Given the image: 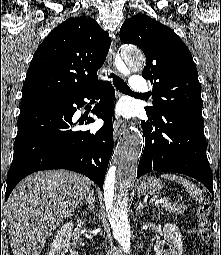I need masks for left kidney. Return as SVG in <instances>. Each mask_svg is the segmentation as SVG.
<instances>
[{
  "label": "left kidney",
  "mask_w": 221,
  "mask_h": 255,
  "mask_svg": "<svg viewBox=\"0 0 221 255\" xmlns=\"http://www.w3.org/2000/svg\"><path fill=\"white\" fill-rule=\"evenodd\" d=\"M164 240L156 242L154 250L156 255H182V234L175 224L167 223L163 228ZM167 244L168 248H164Z\"/></svg>",
  "instance_id": "obj_1"
}]
</instances>
